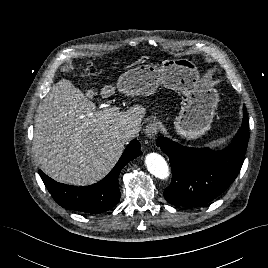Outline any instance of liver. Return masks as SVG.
I'll return each instance as SVG.
<instances>
[{
  "label": "liver",
  "mask_w": 268,
  "mask_h": 268,
  "mask_svg": "<svg viewBox=\"0 0 268 268\" xmlns=\"http://www.w3.org/2000/svg\"><path fill=\"white\" fill-rule=\"evenodd\" d=\"M114 92L104 87L103 98ZM96 106L69 80L54 84L35 116L33 154L41 170L54 180L76 186L104 178L117 162L128 140L112 132L140 129L146 109L139 104L101 117Z\"/></svg>",
  "instance_id": "6515ba94"
}]
</instances>
